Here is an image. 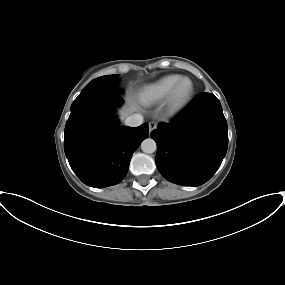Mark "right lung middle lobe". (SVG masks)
<instances>
[{"label":"right lung middle lobe","instance_id":"right-lung-middle-lobe-1","mask_svg":"<svg viewBox=\"0 0 285 285\" xmlns=\"http://www.w3.org/2000/svg\"><path fill=\"white\" fill-rule=\"evenodd\" d=\"M118 77L119 74H114L102 76L92 80L85 86L79 96L74 100L71 108L75 107L77 104L89 96L114 91L115 87L118 84Z\"/></svg>","mask_w":285,"mask_h":285}]
</instances>
